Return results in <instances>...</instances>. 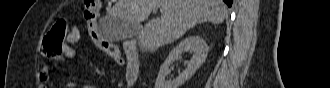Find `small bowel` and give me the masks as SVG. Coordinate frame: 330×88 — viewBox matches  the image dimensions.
<instances>
[{
  "label": "small bowel",
  "instance_id": "obj_1",
  "mask_svg": "<svg viewBox=\"0 0 330 88\" xmlns=\"http://www.w3.org/2000/svg\"><path fill=\"white\" fill-rule=\"evenodd\" d=\"M80 39V30L77 26L75 25H69L68 26V34L66 37L65 41V48H64V53L61 58H59L57 61H64L66 59H70L75 56L76 54V49L74 47V44H76ZM105 52L110 55L111 57L115 56L116 54H119V59L116 60L117 62H121V57H120V51L118 47L113 46L109 50H105ZM129 66V64H128ZM50 74H51V67L50 66H45L39 75V82L41 85H46L49 80H50ZM76 86L74 81H68L66 84L67 88H74ZM87 87V86H85Z\"/></svg>",
  "mask_w": 330,
  "mask_h": 88
}]
</instances>
